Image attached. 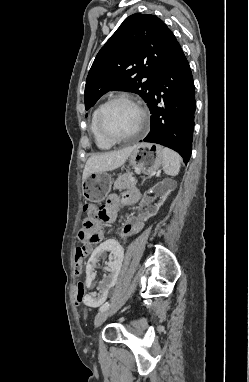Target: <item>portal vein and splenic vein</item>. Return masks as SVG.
<instances>
[{"mask_svg": "<svg viewBox=\"0 0 249 382\" xmlns=\"http://www.w3.org/2000/svg\"><path fill=\"white\" fill-rule=\"evenodd\" d=\"M130 180H131L132 182H134V181H135V178H134V177H132Z\"/></svg>", "mask_w": 249, "mask_h": 382, "instance_id": "portal-vein-and-splenic-vein-1", "label": "portal vein and splenic vein"}]
</instances>
